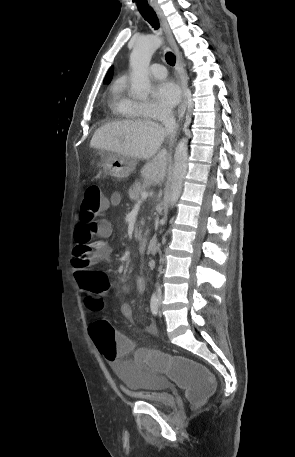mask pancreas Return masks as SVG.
Masks as SVG:
<instances>
[{"label":"pancreas","mask_w":295,"mask_h":457,"mask_svg":"<svg viewBox=\"0 0 295 457\" xmlns=\"http://www.w3.org/2000/svg\"><path fill=\"white\" fill-rule=\"evenodd\" d=\"M144 191H146V186L144 184H141L140 182H136L128 190V195H129L131 200L137 201V200H139L142 192H144ZM142 223H143V219L141 220V224ZM140 234H141L140 227L136 228L135 237H139Z\"/></svg>","instance_id":"1"}]
</instances>
